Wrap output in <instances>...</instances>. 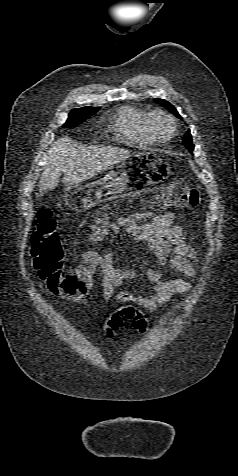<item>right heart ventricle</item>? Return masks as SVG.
Returning <instances> with one entry per match:
<instances>
[{"mask_svg": "<svg viewBox=\"0 0 238 476\" xmlns=\"http://www.w3.org/2000/svg\"><path fill=\"white\" fill-rule=\"evenodd\" d=\"M148 112L145 109L126 105L116 115L115 127L119 136L126 142L137 147H149L155 141L149 135L145 121Z\"/></svg>", "mask_w": 238, "mask_h": 476, "instance_id": "right-heart-ventricle-1", "label": "right heart ventricle"}]
</instances>
